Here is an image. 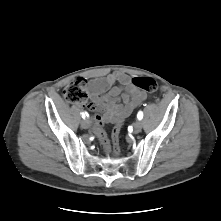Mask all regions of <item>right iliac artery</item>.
Returning <instances> with one entry per match:
<instances>
[{
    "label": "right iliac artery",
    "instance_id": "82829eb1",
    "mask_svg": "<svg viewBox=\"0 0 221 221\" xmlns=\"http://www.w3.org/2000/svg\"><path fill=\"white\" fill-rule=\"evenodd\" d=\"M81 116H82L83 119H85L86 117H88V113H86V112H85V113L82 112V113H81Z\"/></svg>",
    "mask_w": 221,
    "mask_h": 221
}]
</instances>
